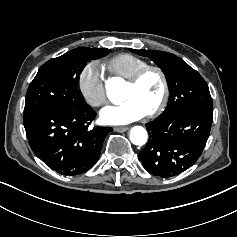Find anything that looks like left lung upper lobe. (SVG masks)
Returning a JSON list of instances; mask_svg holds the SVG:
<instances>
[{"label":"left lung upper lobe","instance_id":"1","mask_svg":"<svg viewBox=\"0 0 237 237\" xmlns=\"http://www.w3.org/2000/svg\"><path fill=\"white\" fill-rule=\"evenodd\" d=\"M130 51L154 61L166 75L170 89L164 112L146 124L149 142L139 153V159L143 165L162 163L153 175L164 178L178 175L187 169L174 167L171 162L197 160L208 140L210 127L201 120L174 122L168 116L181 111L213 109L208 84L196 70L174 54L155 50Z\"/></svg>","mask_w":237,"mask_h":237}]
</instances>
